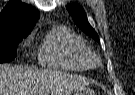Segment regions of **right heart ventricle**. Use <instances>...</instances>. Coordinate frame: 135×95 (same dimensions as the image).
<instances>
[{
    "label": "right heart ventricle",
    "mask_w": 135,
    "mask_h": 95,
    "mask_svg": "<svg viewBox=\"0 0 135 95\" xmlns=\"http://www.w3.org/2000/svg\"><path fill=\"white\" fill-rule=\"evenodd\" d=\"M39 62L46 67L84 71L92 66V54L84 41L70 28L49 29L38 48Z\"/></svg>",
    "instance_id": "obj_1"
}]
</instances>
